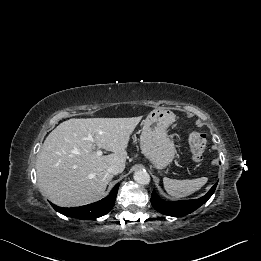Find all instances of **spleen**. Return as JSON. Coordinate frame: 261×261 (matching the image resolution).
Returning a JSON list of instances; mask_svg holds the SVG:
<instances>
[{
    "instance_id": "3e777b00",
    "label": "spleen",
    "mask_w": 261,
    "mask_h": 261,
    "mask_svg": "<svg viewBox=\"0 0 261 261\" xmlns=\"http://www.w3.org/2000/svg\"><path fill=\"white\" fill-rule=\"evenodd\" d=\"M206 177L192 180H174L167 177L163 178L164 188L169 195L174 198H182L193 194L207 183Z\"/></svg>"
}]
</instances>
